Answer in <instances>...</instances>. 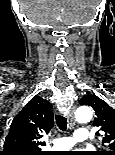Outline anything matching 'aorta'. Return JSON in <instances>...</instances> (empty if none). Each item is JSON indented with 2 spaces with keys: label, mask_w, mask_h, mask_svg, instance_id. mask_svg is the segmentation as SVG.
<instances>
[{
  "label": "aorta",
  "mask_w": 115,
  "mask_h": 155,
  "mask_svg": "<svg viewBox=\"0 0 115 155\" xmlns=\"http://www.w3.org/2000/svg\"><path fill=\"white\" fill-rule=\"evenodd\" d=\"M93 117V111L88 106H83L77 109L75 118L78 123H88Z\"/></svg>",
  "instance_id": "762f6f07"
}]
</instances>
